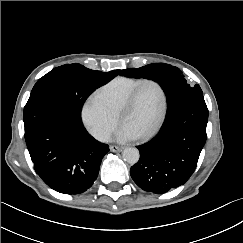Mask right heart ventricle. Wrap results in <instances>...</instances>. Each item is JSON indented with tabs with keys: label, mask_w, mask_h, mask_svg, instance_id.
<instances>
[{
	"label": "right heart ventricle",
	"mask_w": 243,
	"mask_h": 243,
	"mask_svg": "<svg viewBox=\"0 0 243 243\" xmlns=\"http://www.w3.org/2000/svg\"><path fill=\"white\" fill-rule=\"evenodd\" d=\"M143 79L144 78L118 77L102 86L96 91V94L104 100L114 114L118 115L126 98L134 87Z\"/></svg>",
	"instance_id": "1"
}]
</instances>
